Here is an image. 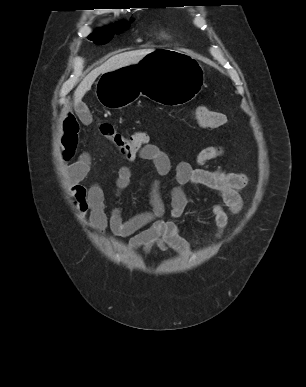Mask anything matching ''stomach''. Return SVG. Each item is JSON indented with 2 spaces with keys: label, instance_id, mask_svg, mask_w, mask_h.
<instances>
[{
  "label": "stomach",
  "instance_id": "obj_1",
  "mask_svg": "<svg viewBox=\"0 0 306 387\" xmlns=\"http://www.w3.org/2000/svg\"><path fill=\"white\" fill-rule=\"evenodd\" d=\"M151 53L136 66L106 70L97 81L96 94L107 108L121 109L139 95L154 99L164 108H181L191 104L204 82L201 64L185 53L153 46Z\"/></svg>",
  "mask_w": 306,
  "mask_h": 387
}]
</instances>
